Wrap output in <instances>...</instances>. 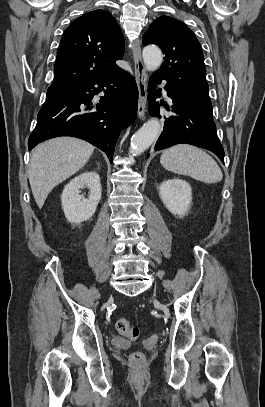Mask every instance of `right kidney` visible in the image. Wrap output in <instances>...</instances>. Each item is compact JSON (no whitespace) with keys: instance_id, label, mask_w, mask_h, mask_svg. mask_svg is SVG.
I'll return each instance as SVG.
<instances>
[{"instance_id":"right-kidney-1","label":"right kidney","mask_w":265,"mask_h":407,"mask_svg":"<svg viewBox=\"0 0 265 407\" xmlns=\"http://www.w3.org/2000/svg\"><path fill=\"white\" fill-rule=\"evenodd\" d=\"M87 186L90 195L87 199L80 195V189ZM101 199L100 177L97 172H84L72 179L61 195L62 209L67 220L80 224L90 219L96 211Z\"/></svg>"}]
</instances>
